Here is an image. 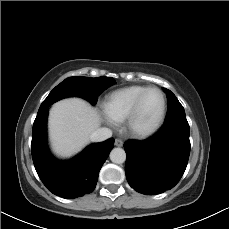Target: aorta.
<instances>
[{"instance_id":"aorta-1","label":"aorta","mask_w":229,"mask_h":229,"mask_svg":"<svg viewBox=\"0 0 229 229\" xmlns=\"http://www.w3.org/2000/svg\"><path fill=\"white\" fill-rule=\"evenodd\" d=\"M110 160L116 164H122L126 160V153L122 148H114L110 153Z\"/></svg>"}]
</instances>
